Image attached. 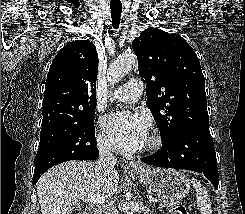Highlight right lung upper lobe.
Segmentation results:
<instances>
[{
    "label": "right lung upper lobe",
    "instance_id": "cb5924a9",
    "mask_svg": "<svg viewBox=\"0 0 245 214\" xmlns=\"http://www.w3.org/2000/svg\"><path fill=\"white\" fill-rule=\"evenodd\" d=\"M98 54L89 40L64 46L50 66L41 133L75 123L96 108Z\"/></svg>",
    "mask_w": 245,
    "mask_h": 214
}]
</instances>
